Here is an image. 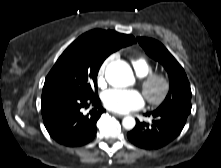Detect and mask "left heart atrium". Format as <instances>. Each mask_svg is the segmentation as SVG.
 I'll use <instances>...</instances> for the list:
<instances>
[{
    "instance_id": "1",
    "label": "left heart atrium",
    "mask_w": 221,
    "mask_h": 168,
    "mask_svg": "<svg viewBox=\"0 0 221 168\" xmlns=\"http://www.w3.org/2000/svg\"><path fill=\"white\" fill-rule=\"evenodd\" d=\"M102 101L107 109L117 113H128L144 105L142 94L128 89H109L103 93Z\"/></svg>"
}]
</instances>
